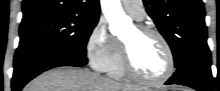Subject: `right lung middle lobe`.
Listing matches in <instances>:
<instances>
[{
  "label": "right lung middle lobe",
  "instance_id": "obj_1",
  "mask_svg": "<svg viewBox=\"0 0 220 91\" xmlns=\"http://www.w3.org/2000/svg\"><path fill=\"white\" fill-rule=\"evenodd\" d=\"M99 17L63 14L21 23L20 45L59 46L86 56V44Z\"/></svg>",
  "mask_w": 220,
  "mask_h": 91
}]
</instances>
